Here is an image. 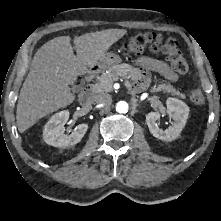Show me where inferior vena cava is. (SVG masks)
Returning a JSON list of instances; mask_svg holds the SVG:
<instances>
[{"instance_id": "1", "label": "inferior vena cava", "mask_w": 221, "mask_h": 221, "mask_svg": "<svg viewBox=\"0 0 221 221\" xmlns=\"http://www.w3.org/2000/svg\"><path fill=\"white\" fill-rule=\"evenodd\" d=\"M93 102L96 104L110 105L112 103V97L106 93L98 94L94 96Z\"/></svg>"}]
</instances>
